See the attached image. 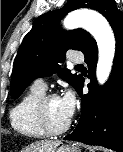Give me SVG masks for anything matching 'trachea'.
Listing matches in <instances>:
<instances>
[{
  "instance_id": "3493384b",
  "label": "trachea",
  "mask_w": 123,
  "mask_h": 152,
  "mask_svg": "<svg viewBox=\"0 0 123 152\" xmlns=\"http://www.w3.org/2000/svg\"><path fill=\"white\" fill-rule=\"evenodd\" d=\"M76 68L81 69V68H83V65H76Z\"/></svg>"
}]
</instances>
